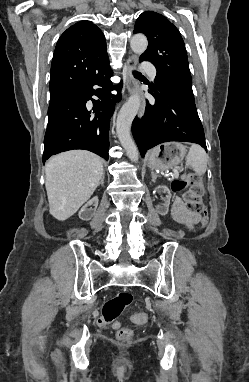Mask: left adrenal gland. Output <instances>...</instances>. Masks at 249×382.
Instances as JSON below:
<instances>
[{
  "instance_id": "left-adrenal-gland-1",
  "label": "left adrenal gland",
  "mask_w": 249,
  "mask_h": 382,
  "mask_svg": "<svg viewBox=\"0 0 249 382\" xmlns=\"http://www.w3.org/2000/svg\"><path fill=\"white\" fill-rule=\"evenodd\" d=\"M151 176H152V182H155L157 179V175L152 171Z\"/></svg>"
}]
</instances>
